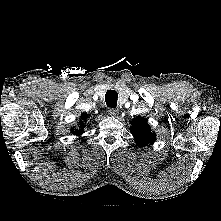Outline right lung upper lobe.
Returning a JSON list of instances; mask_svg holds the SVG:
<instances>
[{"label": "right lung upper lobe", "instance_id": "1", "mask_svg": "<svg viewBox=\"0 0 221 221\" xmlns=\"http://www.w3.org/2000/svg\"><path fill=\"white\" fill-rule=\"evenodd\" d=\"M88 116L89 115L87 113H83L81 115V120L86 122ZM83 121H80V124H81L80 129H72V132H74L78 136L81 135L82 133H84L83 129L85 128V125H84Z\"/></svg>", "mask_w": 221, "mask_h": 221}]
</instances>
